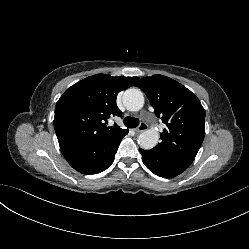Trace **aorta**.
Listing matches in <instances>:
<instances>
[{
    "label": "aorta",
    "mask_w": 249,
    "mask_h": 249,
    "mask_svg": "<svg viewBox=\"0 0 249 249\" xmlns=\"http://www.w3.org/2000/svg\"><path fill=\"white\" fill-rule=\"evenodd\" d=\"M123 103L129 111H139L144 105V95L139 89H128L123 95ZM159 140V134L154 129L141 133L137 139L141 148L149 150L154 148Z\"/></svg>",
    "instance_id": "762f6f07"
}]
</instances>
